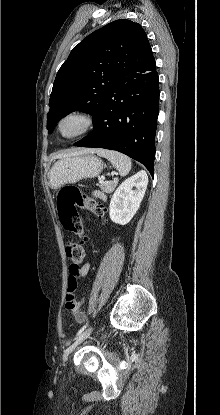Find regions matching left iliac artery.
Returning <instances> with one entry per match:
<instances>
[{
	"instance_id": "left-iliac-artery-1",
	"label": "left iliac artery",
	"mask_w": 220,
	"mask_h": 415,
	"mask_svg": "<svg viewBox=\"0 0 220 415\" xmlns=\"http://www.w3.org/2000/svg\"><path fill=\"white\" fill-rule=\"evenodd\" d=\"M88 326V322L78 331L77 336L80 335Z\"/></svg>"
}]
</instances>
